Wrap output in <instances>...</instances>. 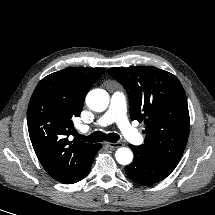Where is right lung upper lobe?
Masks as SVG:
<instances>
[{
	"instance_id": "1",
	"label": "right lung upper lobe",
	"mask_w": 215,
	"mask_h": 215,
	"mask_svg": "<svg viewBox=\"0 0 215 215\" xmlns=\"http://www.w3.org/2000/svg\"><path fill=\"white\" fill-rule=\"evenodd\" d=\"M105 68L69 67L43 78L28 106L27 123L35 153L55 180L72 184L81 180L94 156L95 144L68 137L84 98Z\"/></svg>"
}]
</instances>
